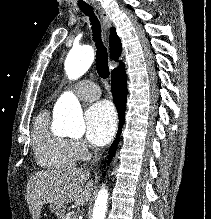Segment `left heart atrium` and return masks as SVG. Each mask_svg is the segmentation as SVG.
I'll list each match as a JSON object with an SVG mask.
<instances>
[{"instance_id": "obj_1", "label": "left heart atrium", "mask_w": 211, "mask_h": 219, "mask_svg": "<svg viewBox=\"0 0 211 219\" xmlns=\"http://www.w3.org/2000/svg\"><path fill=\"white\" fill-rule=\"evenodd\" d=\"M86 136L94 145L106 144L117 127V116L112 105L106 101L92 105L85 114Z\"/></svg>"}]
</instances>
